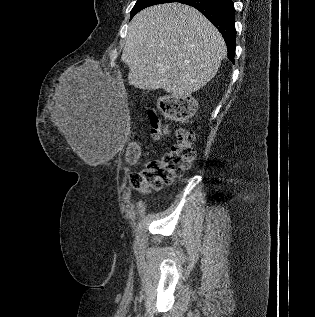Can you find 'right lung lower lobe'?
Wrapping results in <instances>:
<instances>
[{"instance_id": "98d812e1", "label": "right lung lower lobe", "mask_w": 315, "mask_h": 317, "mask_svg": "<svg viewBox=\"0 0 315 317\" xmlns=\"http://www.w3.org/2000/svg\"><path fill=\"white\" fill-rule=\"evenodd\" d=\"M198 9L222 34L228 58L234 63L236 47L235 9L232 0H177Z\"/></svg>"}]
</instances>
